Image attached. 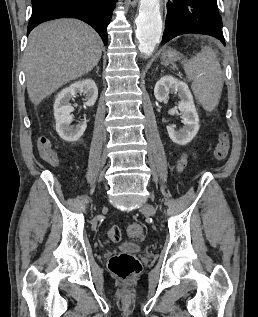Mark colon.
Segmentation results:
<instances>
[{
  "label": "colon",
  "instance_id": "5ec220e1",
  "mask_svg": "<svg viewBox=\"0 0 258 317\" xmlns=\"http://www.w3.org/2000/svg\"><path fill=\"white\" fill-rule=\"evenodd\" d=\"M230 148V137L226 131H221L217 143L215 145L213 155L218 161H222L226 158ZM42 159L55 165L59 161V157L56 152L49 153L43 151L41 154ZM126 235L135 241H141L145 236L144 227L139 223H130L126 226ZM107 236L110 240L118 242L121 239L122 233L118 226H112L107 230ZM109 271L123 281H129L136 278L141 270L142 266L138 258L132 254L117 253L113 255L108 262Z\"/></svg>",
  "mask_w": 258,
  "mask_h": 317
}]
</instances>
